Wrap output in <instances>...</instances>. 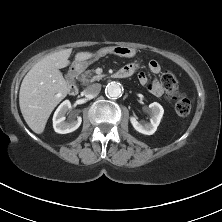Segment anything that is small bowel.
I'll use <instances>...</instances> for the list:
<instances>
[{"label": "small bowel", "instance_id": "small-bowel-1", "mask_svg": "<svg viewBox=\"0 0 222 222\" xmlns=\"http://www.w3.org/2000/svg\"><path fill=\"white\" fill-rule=\"evenodd\" d=\"M137 67H138V63H131V64L125 65L121 69L131 71V75H132L135 72V70L137 69ZM148 68L154 74H157L160 72V65L155 60H151L148 63ZM138 80L141 84L147 85L148 91L151 94H153L155 96H161L163 94V88L158 80H153V81L149 82L147 75L143 72L138 74Z\"/></svg>", "mask_w": 222, "mask_h": 222}]
</instances>
